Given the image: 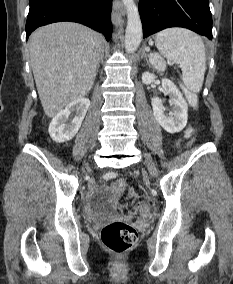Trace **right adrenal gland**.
<instances>
[{
	"label": "right adrenal gland",
	"mask_w": 233,
	"mask_h": 284,
	"mask_svg": "<svg viewBox=\"0 0 233 284\" xmlns=\"http://www.w3.org/2000/svg\"><path fill=\"white\" fill-rule=\"evenodd\" d=\"M103 56H104V50L102 49V53H101V56H100V59H99V63H103ZM99 63L97 65V73H98V70H99Z\"/></svg>",
	"instance_id": "right-adrenal-gland-1"
}]
</instances>
